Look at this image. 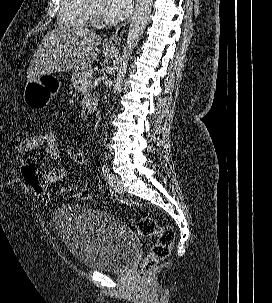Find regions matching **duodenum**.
<instances>
[{"label": "duodenum", "instance_id": "obj_1", "mask_svg": "<svg viewBox=\"0 0 272 303\" xmlns=\"http://www.w3.org/2000/svg\"><path fill=\"white\" fill-rule=\"evenodd\" d=\"M97 104H98L97 100L91 101V102L87 105V107H86V109H85V113H86V114H89V113L93 112V111L96 109Z\"/></svg>", "mask_w": 272, "mask_h": 303}]
</instances>
